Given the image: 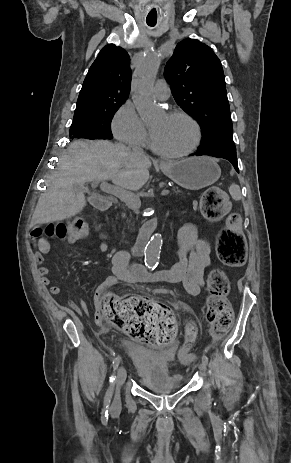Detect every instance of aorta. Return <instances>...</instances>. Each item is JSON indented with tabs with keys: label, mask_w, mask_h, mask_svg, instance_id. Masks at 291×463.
Masks as SVG:
<instances>
[{
	"label": "aorta",
	"mask_w": 291,
	"mask_h": 463,
	"mask_svg": "<svg viewBox=\"0 0 291 463\" xmlns=\"http://www.w3.org/2000/svg\"><path fill=\"white\" fill-rule=\"evenodd\" d=\"M160 58L149 51L136 68L132 80V100L142 119L151 118L156 112L153 87L160 66ZM163 240L160 234L152 236L145 249V265L153 269L158 265Z\"/></svg>",
	"instance_id": "762f6f07"
}]
</instances>
